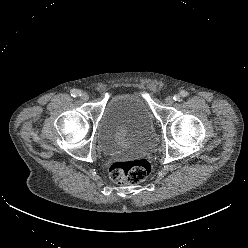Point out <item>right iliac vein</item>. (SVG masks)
Listing matches in <instances>:
<instances>
[{"instance_id": "obj_1", "label": "right iliac vein", "mask_w": 248, "mask_h": 248, "mask_svg": "<svg viewBox=\"0 0 248 248\" xmlns=\"http://www.w3.org/2000/svg\"><path fill=\"white\" fill-rule=\"evenodd\" d=\"M81 99L84 101H87L89 99V95L86 92L81 93Z\"/></svg>"}]
</instances>
